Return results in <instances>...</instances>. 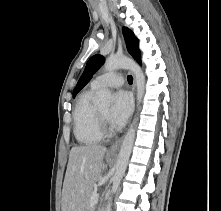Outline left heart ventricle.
<instances>
[{
  "mask_svg": "<svg viewBox=\"0 0 221 211\" xmlns=\"http://www.w3.org/2000/svg\"><path fill=\"white\" fill-rule=\"evenodd\" d=\"M100 111L102 112V114H104L105 116H107L109 109L108 108H101Z\"/></svg>",
  "mask_w": 221,
  "mask_h": 211,
  "instance_id": "1",
  "label": "left heart ventricle"
}]
</instances>
